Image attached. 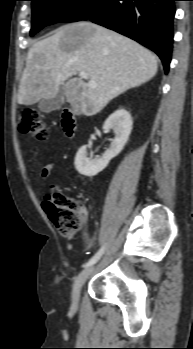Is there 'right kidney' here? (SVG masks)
<instances>
[{"label":"right kidney","mask_w":193,"mask_h":349,"mask_svg":"<svg viewBox=\"0 0 193 349\" xmlns=\"http://www.w3.org/2000/svg\"><path fill=\"white\" fill-rule=\"evenodd\" d=\"M133 121L130 113L121 108L112 113L105 121L103 130L112 129L115 134L110 147L102 157L89 158L87 146H82L75 157L74 165L76 170L84 176H95L104 170L109 162L116 157L124 148L132 131Z\"/></svg>","instance_id":"ca27d5eb"}]
</instances>
